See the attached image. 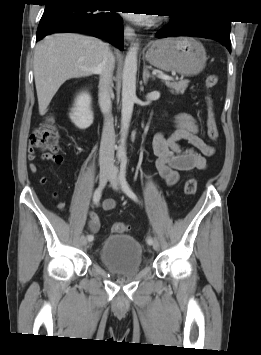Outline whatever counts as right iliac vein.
Wrapping results in <instances>:
<instances>
[{"instance_id": "obj_1", "label": "right iliac vein", "mask_w": 261, "mask_h": 355, "mask_svg": "<svg viewBox=\"0 0 261 355\" xmlns=\"http://www.w3.org/2000/svg\"><path fill=\"white\" fill-rule=\"evenodd\" d=\"M110 175H111V170L110 169H101L100 174H99V181H100V184L102 186L106 183V181L110 177ZM80 242L83 245H85V246L89 245V243H88L87 239L85 238V236H82L80 238Z\"/></svg>"}]
</instances>
